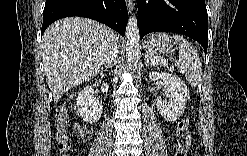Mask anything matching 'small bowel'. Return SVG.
I'll use <instances>...</instances> for the list:
<instances>
[{
  "mask_svg": "<svg viewBox=\"0 0 247 156\" xmlns=\"http://www.w3.org/2000/svg\"><path fill=\"white\" fill-rule=\"evenodd\" d=\"M189 140H190V138H189V135L187 136V144L189 143Z\"/></svg>",
  "mask_w": 247,
  "mask_h": 156,
  "instance_id": "c3829d8e",
  "label": "small bowel"
}]
</instances>
